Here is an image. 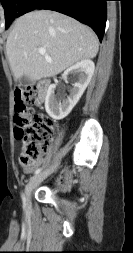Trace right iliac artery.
Returning <instances> with one entry per match:
<instances>
[{"label": "right iliac artery", "mask_w": 133, "mask_h": 253, "mask_svg": "<svg viewBox=\"0 0 133 253\" xmlns=\"http://www.w3.org/2000/svg\"><path fill=\"white\" fill-rule=\"evenodd\" d=\"M41 171H42V168H38L37 170H35L34 176L38 175ZM22 199H23V204H24V207H25L26 206V200H25V195L24 194H22Z\"/></svg>", "instance_id": "82829eb1"}]
</instances>
